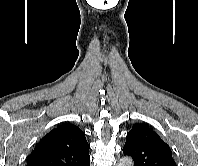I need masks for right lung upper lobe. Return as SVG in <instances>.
Here are the masks:
<instances>
[{
	"mask_svg": "<svg viewBox=\"0 0 198 166\" xmlns=\"http://www.w3.org/2000/svg\"><path fill=\"white\" fill-rule=\"evenodd\" d=\"M89 148L82 130L63 123L40 140L27 166H90Z\"/></svg>",
	"mask_w": 198,
	"mask_h": 166,
	"instance_id": "right-lung-upper-lobe-1",
	"label": "right lung upper lobe"
}]
</instances>
